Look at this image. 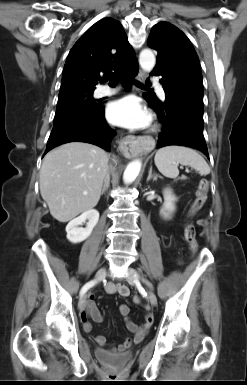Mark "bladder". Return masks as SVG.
Masks as SVG:
<instances>
[{
  "label": "bladder",
  "mask_w": 247,
  "mask_h": 385,
  "mask_svg": "<svg viewBox=\"0 0 247 385\" xmlns=\"http://www.w3.org/2000/svg\"><path fill=\"white\" fill-rule=\"evenodd\" d=\"M98 354L102 355L103 357L105 358H109V359H112V360H116L118 362H125L127 361L130 356H131V353L130 352H125L123 354H119V355H116V356H112L111 354H109L108 352L106 351H102V350H98L97 351Z\"/></svg>",
  "instance_id": "bladder-1"
}]
</instances>
